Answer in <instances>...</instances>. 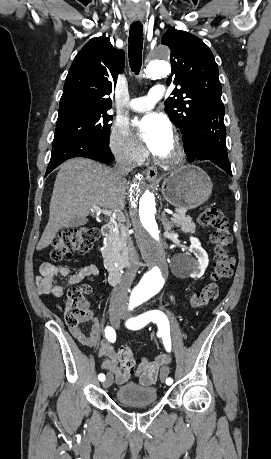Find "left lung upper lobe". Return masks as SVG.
<instances>
[{
	"mask_svg": "<svg viewBox=\"0 0 271 459\" xmlns=\"http://www.w3.org/2000/svg\"><path fill=\"white\" fill-rule=\"evenodd\" d=\"M161 42L171 49L172 73L167 83L174 82L165 111L181 128L187 155L197 149V131L224 118L218 67L211 50L198 37L171 27Z\"/></svg>",
	"mask_w": 271,
	"mask_h": 459,
	"instance_id": "1",
	"label": "left lung upper lobe"
}]
</instances>
